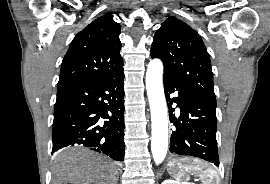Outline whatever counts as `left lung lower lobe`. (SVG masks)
Listing matches in <instances>:
<instances>
[{"label":"left lung lower lobe","instance_id":"0a47b994","mask_svg":"<svg viewBox=\"0 0 270 184\" xmlns=\"http://www.w3.org/2000/svg\"><path fill=\"white\" fill-rule=\"evenodd\" d=\"M164 90L167 101L175 91L178 96L168 104L172 129L170 152L174 156H192L219 166L216 141V103L210 101L193 86L175 76L164 73ZM180 108V116L175 117L172 104Z\"/></svg>","mask_w":270,"mask_h":184}]
</instances>
